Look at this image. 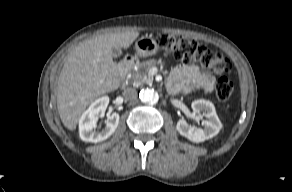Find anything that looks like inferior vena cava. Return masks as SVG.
Segmentation results:
<instances>
[{"label":"inferior vena cava","instance_id":"602c4592","mask_svg":"<svg viewBox=\"0 0 292 192\" xmlns=\"http://www.w3.org/2000/svg\"><path fill=\"white\" fill-rule=\"evenodd\" d=\"M124 97L129 101H136L138 93L135 88H126L123 92Z\"/></svg>","mask_w":292,"mask_h":192}]
</instances>
